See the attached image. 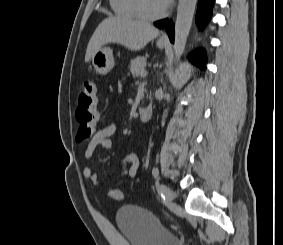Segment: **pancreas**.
Here are the masks:
<instances>
[{"label":"pancreas","mask_w":283,"mask_h":245,"mask_svg":"<svg viewBox=\"0 0 283 245\" xmlns=\"http://www.w3.org/2000/svg\"><path fill=\"white\" fill-rule=\"evenodd\" d=\"M145 67H146V58L137 57L131 60L129 68H130V72L135 77V76L140 75L141 72L144 71Z\"/></svg>","instance_id":"pancreas-1"}]
</instances>
